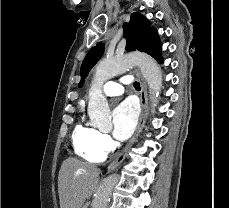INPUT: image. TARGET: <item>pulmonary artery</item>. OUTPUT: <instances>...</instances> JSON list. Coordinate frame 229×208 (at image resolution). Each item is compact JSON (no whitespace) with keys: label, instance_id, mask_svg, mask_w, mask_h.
Here are the masks:
<instances>
[{"label":"pulmonary artery","instance_id":"pulmonary-artery-1","mask_svg":"<svg viewBox=\"0 0 229 208\" xmlns=\"http://www.w3.org/2000/svg\"><path fill=\"white\" fill-rule=\"evenodd\" d=\"M123 72H121L122 74ZM114 77H110L102 88L103 94L106 96H117L121 95L124 90V85H129L133 78L130 75L121 76L118 79H112Z\"/></svg>","mask_w":229,"mask_h":208}]
</instances>
